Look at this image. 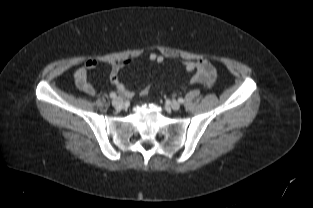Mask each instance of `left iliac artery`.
<instances>
[{"label": "left iliac artery", "mask_w": 313, "mask_h": 208, "mask_svg": "<svg viewBox=\"0 0 313 208\" xmlns=\"http://www.w3.org/2000/svg\"><path fill=\"white\" fill-rule=\"evenodd\" d=\"M178 101H179L180 103H184V99H183V98H179Z\"/></svg>", "instance_id": "1"}]
</instances>
